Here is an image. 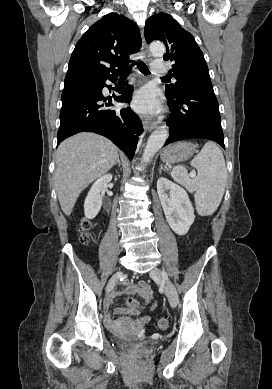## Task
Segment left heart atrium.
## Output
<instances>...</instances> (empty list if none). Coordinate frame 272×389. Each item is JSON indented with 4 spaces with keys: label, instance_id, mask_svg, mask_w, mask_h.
<instances>
[{
    "label": "left heart atrium",
    "instance_id": "39dd6f15",
    "mask_svg": "<svg viewBox=\"0 0 272 389\" xmlns=\"http://www.w3.org/2000/svg\"><path fill=\"white\" fill-rule=\"evenodd\" d=\"M132 104L136 110L142 113H153L158 109L155 92L149 87L137 91Z\"/></svg>",
    "mask_w": 272,
    "mask_h": 389
}]
</instances>
